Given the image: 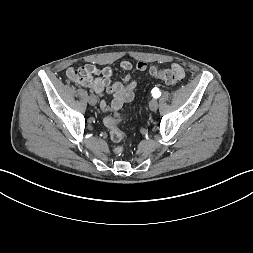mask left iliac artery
<instances>
[{
    "label": "left iliac artery",
    "instance_id": "1",
    "mask_svg": "<svg viewBox=\"0 0 253 253\" xmlns=\"http://www.w3.org/2000/svg\"><path fill=\"white\" fill-rule=\"evenodd\" d=\"M151 92H152V96H153L154 98H158V97H160V95H161V92L159 91L158 88H153Z\"/></svg>",
    "mask_w": 253,
    "mask_h": 253
}]
</instances>
